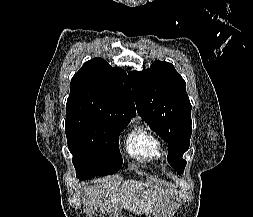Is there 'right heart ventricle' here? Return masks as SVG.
I'll list each match as a JSON object with an SVG mask.
<instances>
[{"label":"right heart ventricle","instance_id":"obj_1","mask_svg":"<svg viewBox=\"0 0 253 217\" xmlns=\"http://www.w3.org/2000/svg\"><path fill=\"white\" fill-rule=\"evenodd\" d=\"M125 149L130 156L143 162H155L162 155L161 143L145 127L130 131L125 140Z\"/></svg>","mask_w":253,"mask_h":217}]
</instances>
